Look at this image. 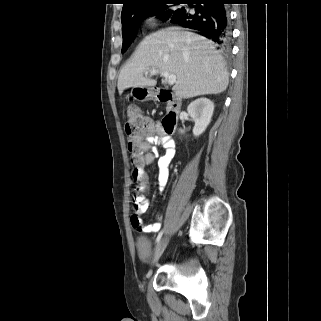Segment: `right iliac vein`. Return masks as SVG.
I'll return each instance as SVG.
<instances>
[{"label": "right iliac vein", "mask_w": 321, "mask_h": 321, "mask_svg": "<svg viewBox=\"0 0 321 321\" xmlns=\"http://www.w3.org/2000/svg\"><path fill=\"white\" fill-rule=\"evenodd\" d=\"M167 244H168L167 237H164L159 241V243L156 246L155 252H154L153 263L156 262L159 259V257L162 255Z\"/></svg>", "instance_id": "obj_1"}]
</instances>
